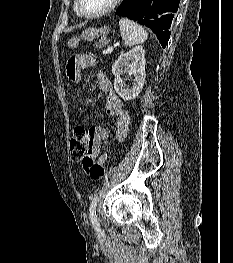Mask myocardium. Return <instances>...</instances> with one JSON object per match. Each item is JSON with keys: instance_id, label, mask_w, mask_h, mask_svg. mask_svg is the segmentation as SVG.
Masks as SVG:
<instances>
[{"instance_id": "1", "label": "myocardium", "mask_w": 233, "mask_h": 263, "mask_svg": "<svg viewBox=\"0 0 233 263\" xmlns=\"http://www.w3.org/2000/svg\"><path fill=\"white\" fill-rule=\"evenodd\" d=\"M122 0H112L111 3L104 9H102L99 12L96 13H92V14H88L85 13L82 8H81V0H76V4H75V8L77 13L84 17V18H88V19H94V18H99L102 17L110 12H112L114 9H116L118 7V5L120 4Z\"/></svg>"}]
</instances>
